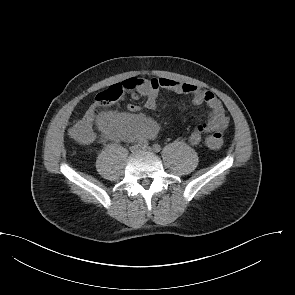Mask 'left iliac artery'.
I'll return each instance as SVG.
<instances>
[{
    "mask_svg": "<svg viewBox=\"0 0 295 295\" xmlns=\"http://www.w3.org/2000/svg\"><path fill=\"white\" fill-rule=\"evenodd\" d=\"M153 150H154L155 152H160V151H161V146H160L159 144H154V145H153Z\"/></svg>",
    "mask_w": 295,
    "mask_h": 295,
    "instance_id": "44dca946",
    "label": "left iliac artery"
}]
</instances>
